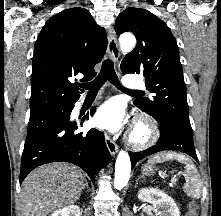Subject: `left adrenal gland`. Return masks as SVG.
I'll use <instances>...</instances> for the list:
<instances>
[{
	"label": "left adrenal gland",
	"mask_w": 221,
	"mask_h": 216,
	"mask_svg": "<svg viewBox=\"0 0 221 216\" xmlns=\"http://www.w3.org/2000/svg\"><path fill=\"white\" fill-rule=\"evenodd\" d=\"M140 178H144V177H143V176H139V177H138V179L136 180V183H135V187H137V185H138V180H139Z\"/></svg>",
	"instance_id": "left-adrenal-gland-1"
}]
</instances>
